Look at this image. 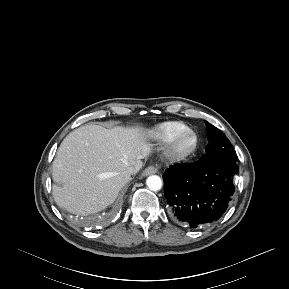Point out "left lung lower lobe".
<instances>
[{
	"mask_svg": "<svg viewBox=\"0 0 289 289\" xmlns=\"http://www.w3.org/2000/svg\"><path fill=\"white\" fill-rule=\"evenodd\" d=\"M238 171L236 163L201 159L169 167L163 174L164 193L174 217L191 228L217 221L232 199Z\"/></svg>",
	"mask_w": 289,
	"mask_h": 289,
	"instance_id": "1",
	"label": "left lung lower lobe"
}]
</instances>
